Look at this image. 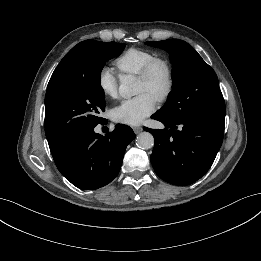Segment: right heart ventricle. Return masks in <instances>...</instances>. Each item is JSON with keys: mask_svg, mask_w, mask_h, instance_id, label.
Returning a JSON list of instances; mask_svg holds the SVG:
<instances>
[{"mask_svg": "<svg viewBox=\"0 0 261 261\" xmlns=\"http://www.w3.org/2000/svg\"><path fill=\"white\" fill-rule=\"evenodd\" d=\"M156 56L148 49L129 48L114 60V64L123 75H138Z\"/></svg>", "mask_w": 261, "mask_h": 261, "instance_id": "right-heart-ventricle-1", "label": "right heart ventricle"}]
</instances>
